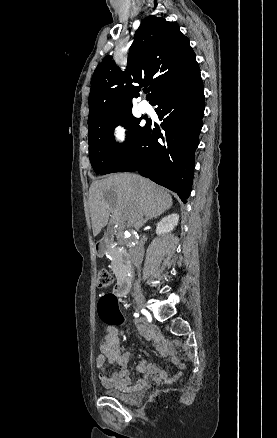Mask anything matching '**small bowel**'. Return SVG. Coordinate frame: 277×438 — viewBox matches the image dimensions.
<instances>
[{
	"mask_svg": "<svg viewBox=\"0 0 277 438\" xmlns=\"http://www.w3.org/2000/svg\"><path fill=\"white\" fill-rule=\"evenodd\" d=\"M132 331V328H129ZM139 337H152V343L156 344L158 349V356L165 358L168 355L167 349L172 347L170 342L163 341L162 336L159 335L158 330L155 326H140L138 328ZM163 341V342H162ZM129 359L128 352L123 350L120 342L119 331L115 327H107L105 329V338L100 346V354L97 356L96 363L98 367H102L106 361L111 363H116L118 365V370L112 372L111 369L99 368L96 371L97 376L100 377L101 384L106 388H116L122 392H130L133 390H141L148 383L150 374H154L159 380L169 379L166 372L162 370H157L152 366L150 360H145L138 365V369L142 371V377L135 385H131L129 378V370L127 368V363ZM172 362L178 365V372L176 377H178L181 372L185 369V365L181 363L177 358H173ZM171 365V362H168ZM175 377V378H176Z\"/></svg>",
	"mask_w": 277,
	"mask_h": 438,
	"instance_id": "obj_1",
	"label": "small bowel"
}]
</instances>
